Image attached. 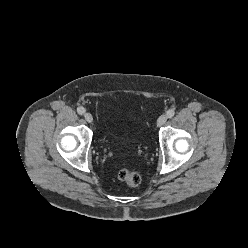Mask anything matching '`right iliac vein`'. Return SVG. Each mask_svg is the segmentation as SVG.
Masks as SVG:
<instances>
[{"instance_id":"obj_1","label":"right iliac vein","mask_w":248,"mask_h":248,"mask_svg":"<svg viewBox=\"0 0 248 248\" xmlns=\"http://www.w3.org/2000/svg\"><path fill=\"white\" fill-rule=\"evenodd\" d=\"M84 118L88 123H92L93 122V116L90 113H85L84 114Z\"/></svg>"}]
</instances>
